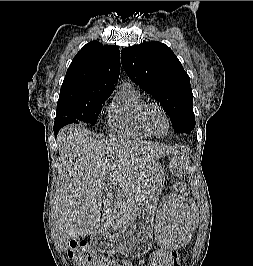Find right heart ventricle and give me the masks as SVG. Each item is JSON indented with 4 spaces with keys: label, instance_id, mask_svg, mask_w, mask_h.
Listing matches in <instances>:
<instances>
[{
    "label": "right heart ventricle",
    "instance_id": "e07e8e85",
    "mask_svg": "<svg viewBox=\"0 0 253 266\" xmlns=\"http://www.w3.org/2000/svg\"><path fill=\"white\" fill-rule=\"evenodd\" d=\"M145 100L138 89L130 83L122 84L108 108L109 127L119 136L146 139L150 135L143 129L139 115Z\"/></svg>",
    "mask_w": 253,
    "mask_h": 266
}]
</instances>
